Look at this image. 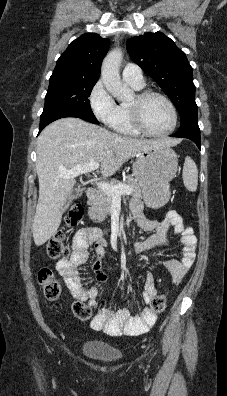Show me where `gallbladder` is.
<instances>
[{
	"instance_id": "obj_1",
	"label": "gallbladder",
	"mask_w": 227,
	"mask_h": 396,
	"mask_svg": "<svg viewBox=\"0 0 227 396\" xmlns=\"http://www.w3.org/2000/svg\"><path fill=\"white\" fill-rule=\"evenodd\" d=\"M80 192H81V190L78 188L68 197L66 204L63 207V211H65L69 208L72 200L75 198V196H78L80 194Z\"/></svg>"
}]
</instances>
